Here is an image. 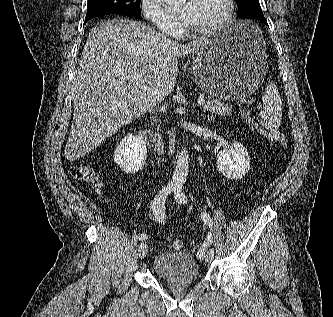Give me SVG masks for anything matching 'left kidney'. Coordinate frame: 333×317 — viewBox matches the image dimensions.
Here are the masks:
<instances>
[{
    "label": "left kidney",
    "instance_id": "5707ae66",
    "mask_svg": "<svg viewBox=\"0 0 333 317\" xmlns=\"http://www.w3.org/2000/svg\"><path fill=\"white\" fill-rule=\"evenodd\" d=\"M217 167L228 179L239 180L250 169V158L247 149L240 143L234 142L231 147L220 151L217 155Z\"/></svg>",
    "mask_w": 333,
    "mask_h": 317
}]
</instances>
